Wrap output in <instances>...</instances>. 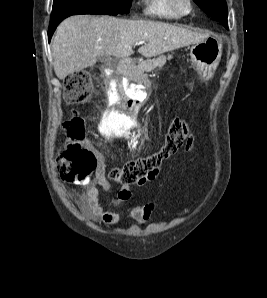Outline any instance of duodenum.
<instances>
[{
  "label": "duodenum",
  "instance_id": "obj_1",
  "mask_svg": "<svg viewBox=\"0 0 267 298\" xmlns=\"http://www.w3.org/2000/svg\"><path fill=\"white\" fill-rule=\"evenodd\" d=\"M132 59L125 58L119 63V70L116 75H111L112 84L108 85L109 89H113L115 96L120 99L113 101L114 112H119V115H133L134 109H138V105H142L140 98L128 97L126 88L120 81V76H128L127 71L132 66Z\"/></svg>",
  "mask_w": 267,
  "mask_h": 298
}]
</instances>
